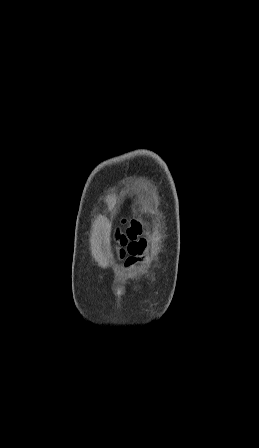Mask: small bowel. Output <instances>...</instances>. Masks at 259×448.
Segmentation results:
<instances>
[{
  "label": "small bowel",
  "mask_w": 259,
  "mask_h": 448,
  "mask_svg": "<svg viewBox=\"0 0 259 448\" xmlns=\"http://www.w3.org/2000/svg\"><path fill=\"white\" fill-rule=\"evenodd\" d=\"M141 227L133 223L127 230L116 233V254L119 260L123 261L126 268H130L141 260L145 249L146 242L141 237Z\"/></svg>",
  "instance_id": "small-bowel-1"
}]
</instances>
